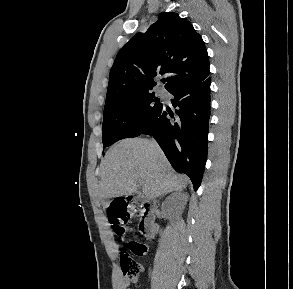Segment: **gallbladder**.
Returning <instances> with one entry per match:
<instances>
[{"label": "gallbladder", "instance_id": "obj_1", "mask_svg": "<svg viewBox=\"0 0 293 289\" xmlns=\"http://www.w3.org/2000/svg\"><path fill=\"white\" fill-rule=\"evenodd\" d=\"M137 199H138V200H142V199H143V197H142V196H140V195H137Z\"/></svg>", "mask_w": 293, "mask_h": 289}]
</instances>
